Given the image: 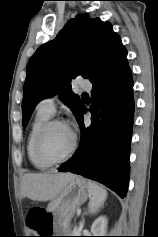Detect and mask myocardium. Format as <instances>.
Masks as SVG:
<instances>
[{"instance_id": "myocardium-1", "label": "myocardium", "mask_w": 158, "mask_h": 237, "mask_svg": "<svg viewBox=\"0 0 158 237\" xmlns=\"http://www.w3.org/2000/svg\"><path fill=\"white\" fill-rule=\"evenodd\" d=\"M56 125L67 126L66 122L61 119H57V118L50 119L38 131L36 138H35V142H34V151H35L36 156L41 161H43L44 163H46L48 165H56V164L66 162L68 159H70L72 157V155L74 154L76 147H77V137L71 131V129L67 126L72 133V143H71V146H70L69 150L67 151V153L60 158H51L44 152V149H43L44 138H45L46 134L50 131V129Z\"/></svg>"}]
</instances>
